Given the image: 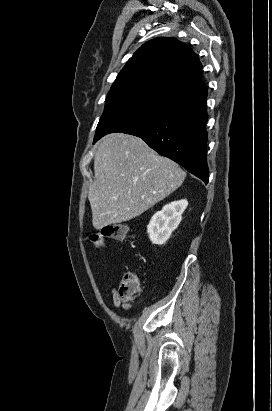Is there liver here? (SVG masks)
<instances>
[{"mask_svg":"<svg viewBox=\"0 0 272 411\" xmlns=\"http://www.w3.org/2000/svg\"><path fill=\"white\" fill-rule=\"evenodd\" d=\"M94 173L88 199L97 230L141 215L174 192L186 177L177 163L124 133L109 134L99 142Z\"/></svg>","mask_w":272,"mask_h":411,"instance_id":"6515ba94","label":"liver"}]
</instances>
